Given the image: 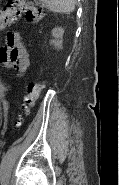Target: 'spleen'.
Listing matches in <instances>:
<instances>
[{"label":"spleen","mask_w":119,"mask_h":185,"mask_svg":"<svg viewBox=\"0 0 119 185\" xmlns=\"http://www.w3.org/2000/svg\"><path fill=\"white\" fill-rule=\"evenodd\" d=\"M42 5L55 13H70L75 9L76 0H39Z\"/></svg>","instance_id":"spleen-1"}]
</instances>
